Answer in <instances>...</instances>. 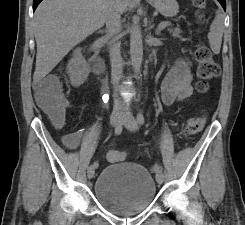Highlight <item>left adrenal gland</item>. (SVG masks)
Segmentation results:
<instances>
[{"label": "left adrenal gland", "instance_id": "1", "mask_svg": "<svg viewBox=\"0 0 245 225\" xmlns=\"http://www.w3.org/2000/svg\"><path fill=\"white\" fill-rule=\"evenodd\" d=\"M151 27H153V25ZM156 34L159 35L160 33L156 31Z\"/></svg>", "mask_w": 245, "mask_h": 225}]
</instances>
